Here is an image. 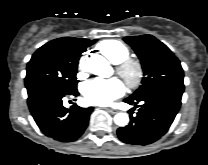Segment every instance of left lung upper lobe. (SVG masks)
Segmentation results:
<instances>
[{
	"label": "left lung upper lobe",
	"instance_id": "5c2ea615",
	"mask_svg": "<svg viewBox=\"0 0 208 165\" xmlns=\"http://www.w3.org/2000/svg\"><path fill=\"white\" fill-rule=\"evenodd\" d=\"M139 57L142 69V85L128 98H139L164 85L183 83V69L172 51L152 35L125 37Z\"/></svg>",
	"mask_w": 208,
	"mask_h": 165
}]
</instances>
